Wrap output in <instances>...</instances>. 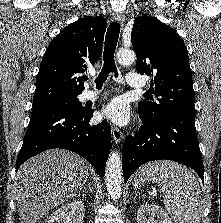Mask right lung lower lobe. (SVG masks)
Masks as SVG:
<instances>
[{
  "label": "right lung lower lobe",
  "instance_id": "98d812e1",
  "mask_svg": "<svg viewBox=\"0 0 221 223\" xmlns=\"http://www.w3.org/2000/svg\"><path fill=\"white\" fill-rule=\"evenodd\" d=\"M93 109L53 112L32 118L16 161V171L30 157L51 148L71 150L88 160L100 177L110 152L111 127L103 120L91 126Z\"/></svg>",
  "mask_w": 221,
  "mask_h": 223
}]
</instances>
